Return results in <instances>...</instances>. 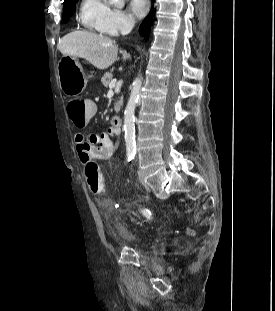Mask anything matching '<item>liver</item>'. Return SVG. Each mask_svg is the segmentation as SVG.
<instances>
[{
	"instance_id": "obj_1",
	"label": "liver",
	"mask_w": 275,
	"mask_h": 311,
	"mask_svg": "<svg viewBox=\"0 0 275 311\" xmlns=\"http://www.w3.org/2000/svg\"><path fill=\"white\" fill-rule=\"evenodd\" d=\"M58 48L64 56L84 58L98 69H107L117 59L118 46L107 36L89 31H74L59 41ZM124 60L131 55L121 52Z\"/></svg>"
}]
</instances>
